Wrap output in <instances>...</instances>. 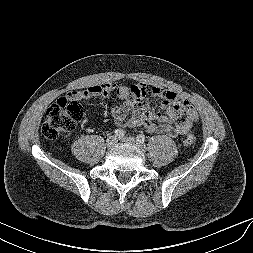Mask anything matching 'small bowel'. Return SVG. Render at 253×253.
<instances>
[{
    "label": "small bowel",
    "mask_w": 253,
    "mask_h": 253,
    "mask_svg": "<svg viewBox=\"0 0 253 253\" xmlns=\"http://www.w3.org/2000/svg\"><path fill=\"white\" fill-rule=\"evenodd\" d=\"M115 91L117 101L112 106L114 123L117 127H142L149 133L165 134L169 137L188 135L198 113L190 102L172 90L154 86L147 92L143 83L123 85L105 82L74 90L67 94L72 100H94L106 98ZM160 101L159 109H153L149 98Z\"/></svg>",
    "instance_id": "c3829d8e"
}]
</instances>
